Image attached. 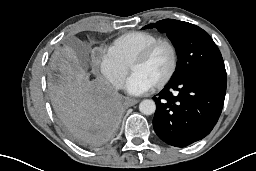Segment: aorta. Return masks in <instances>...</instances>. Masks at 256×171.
I'll return each mask as SVG.
<instances>
[{
	"label": "aorta",
	"instance_id": "1",
	"mask_svg": "<svg viewBox=\"0 0 256 171\" xmlns=\"http://www.w3.org/2000/svg\"><path fill=\"white\" fill-rule=\"evenodd\" d=\"M139 110L144 115H151L156 110V105L153 100L145 99L139 104Z\"/></svg>",
	"mask_w": 256,
	"mask_h": 171
}]
</instances>
